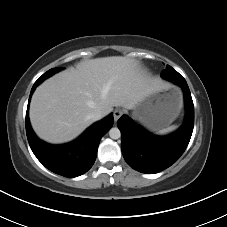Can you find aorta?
<instances>
[{
  "instance_id": "1",
  "label": "aorta",
  "mask_w": 227,
  "mask_h": 227,
  "mask_svg": "<svg viewBox=\"0 0 227 227\" xmlns=\"http://www.w3.org/2000/svg\"><path fill=\"white\" fill-rule=\"evenodd\" d=\"M109 136L112 139H119L121 137V132L118 128L114 127L109 130Z\"/></svg>"
}]
</instances>
